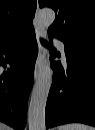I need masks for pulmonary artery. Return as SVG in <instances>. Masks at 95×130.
<instances>
[{"mask_svg": "<svg viewBox=\"0 0 95 130\" xmlns=\"http://www.w3.org/2000/svg\"><path fill=\"white\" fill-rule=\"evenodd\" d=\"M56 43H57V45H58L60 51L62 52L63 57H65L64 44H63L61 41H59V40H56Z\"/></svg>", "mask_w": 95, "mask_h": 130, "instance_id": "1", "label": "pulmonary artery"}]
</instances>
